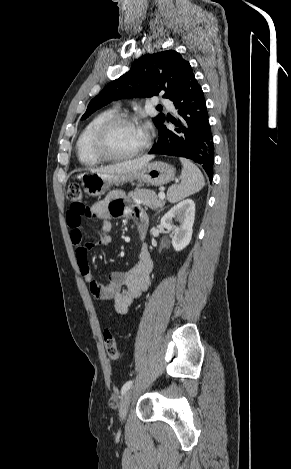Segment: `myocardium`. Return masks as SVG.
I'll list each match as a JSON object with an SVG mask.
<instances>
[{"label":"myocardium","instance_id":"obj_1","mask_svg":"<svg viewBox=\"0 0 291 469\" xmlns=\"http://www.w3.org/2000/svg\"><path fill=\"white\" fill-rule=\"evenodd\" d=\"M120 124L137 125V121L126 114H116L103 122L97 129L94 137V147L97 154L107 161H126L144 153L150 146V137L146 135L145 143L136 151L125 155H118L111 151L109 138L112 130Z\"/></svg>","mask_w":291,"mask_h":469}]
</instances>
